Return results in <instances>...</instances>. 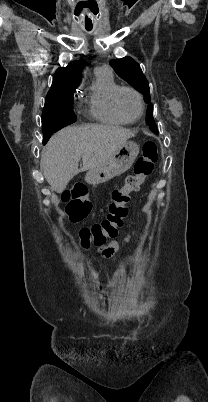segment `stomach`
<instances>
[{
	"label": "stomach",
	"mask_w": 208,
	"mask_h": 402,
	"mask_svg": "<svg viewBox=\"0 0 208 402\" xmlns=\"http://www.w3.org/2000/svg\"><path fill=\"white\" fill-rule=\"evenodd\" d=\"M139 152L140 148L135 142H125L119 150H116L112 156H109L108 160L102 162L100 166L89 170L85 176V182L97 186V184L108 182V180L115 178V176H121V174H124V172H127L131 168Z\"/></svg>",
	"instance_id": "1"
}]
</instances>
